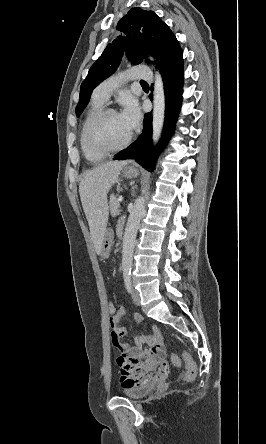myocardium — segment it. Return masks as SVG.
<instances>
[{
    "instance_id": "f54148a6",
    "label": "myocardium",
    "mask_w": 266,
    "mask_h": 444,
    "mask_svg": "<svg viewBox=\"0 0 266 444\" xmlns=\"http://www.w3.org/2000/svg\"><path fill=\"white\" fill-rule=\"evenodd\" d=\"M118 114V111L114 108H103L101 109L89 122L86 131H85V144L87 148L97 154H103V155H110L116 152H119L126 147H128L133 139V132L129 134V136L126 138V140L119 146L112 147V148H100L96 146L92 141V134L97 126V124L108 114Z\"/></svg>"
}]
</instances>
